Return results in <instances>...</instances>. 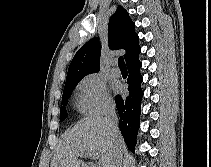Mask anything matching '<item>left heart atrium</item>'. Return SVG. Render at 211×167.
Here are the masks:
<instances>
[{
	"instance_id": "obj_1",
	"label": "left heart atrium",
	"mask_w": 211,
	"mask_h": 167,
	"mask_svg": "<svg viewBox=\"0 0 211 167\" xmlns=\"http://www.w3.org/2000/svg\"><path fill=\"white\" fill-rule=\"evenodd\" d=\"M114 88H115L116 90H118V89H119V86H118V85H115Z\"/></svg>"
}]
</instances>
